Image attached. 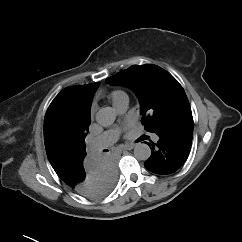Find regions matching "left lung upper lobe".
I'll return each mask as SVG.
<instances>
[{
  "label": "left lung upper lobe",
  "mask_w": 242,
  "mask_h": 242,
  "mask_svg": "<svg viewBox=\"0 0 242 242\" xmlns=\"http://www.w3.org/2000/svg\"><path fill=\"white\" fill-rule=\"evenodd\" d=\"M109 84L126 85L138 95L145 130L156 132L191 107L184 89L167 71L153 64L133 65L106 79Z\"/></svg>",
  "instance_id": "left-lung-upper-lobe-1"
}]
</instances>
